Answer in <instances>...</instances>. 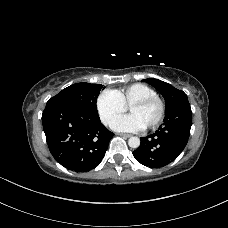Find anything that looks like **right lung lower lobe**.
<instances>
[{"mask_svg":"<svg viewBox=\"0 0 228 228\" xmlns=\"http://www.w3.org/2000/svg\"><path fill=\"white\" fill-rule=\"evenodd\" d=\"M42 123L54 159L75 172L98 166L114 135L98 114L62 101L47 102Z\"/></svg>","mask_w":228,"mask_h":228,"instance_id":"obj_1","label":"right lung lower lobe"}]
</instances>
